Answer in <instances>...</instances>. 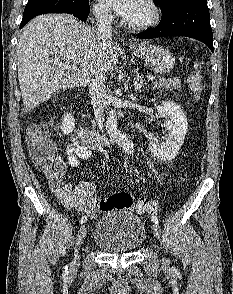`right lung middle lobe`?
I'll return each mask as SVG.
<instances>
[{
	"instance_id": "dd1d6c3e",
	"label": "right lung middle lobe",
	"mask_w": 233,
	"mask_h": 294,
	"mask_svg": "<svg viewBox=\"0 0 233 294\" xmlns=\"http://www.w3.org/2000/svg\"><path fill=\"white\" fill-rule=\"evenodd\" d=\"M89 3V0H28L22 22L27 23L37 15L67 13Z\"/></svg>"
}]
</instances>
